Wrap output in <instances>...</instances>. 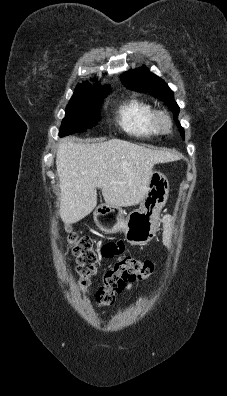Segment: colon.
Instances as JSON below:
<instances>
[{
  "mask_svg": "<svg viewBox=\"0 0 227 396\" xmlns=\"http://www.w3.org/2000/svg\"><path fill=\"white\" fill-rule=\"evenodd\" d=\"M68 244L77 259L79 287L81 290H86L95 272L98 253L94 249L92 240L87 236L71 234ZM153 271L154 266L151 261L132 256L122 258L105 272L102 285L96 291V303L100 307L111 305L116 295L121 293L128 283L149 279Z\"/></svg>",
  "mask_w": 227,
  "mask_h": 396,
  "instance_id": "5ec220e1",
  "label": "colon"
}]
</instances>
